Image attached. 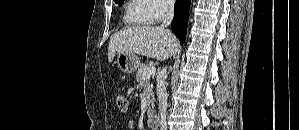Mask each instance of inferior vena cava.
Here are the masks:
<instances>
[{"mask_svg":"<svg viewBox=\"0 0 299 130\" xmlns=\"http://www.w3.org/2000/svg\"><path fill=\"white\" fill-rule=\"evenodd\" d=\"M166 17L161 24L162 28L168 27L174 16V3L173 1H169L165 6ZM167 78V68H163V70L158 75L157 82V97L159 101V113H160V130H167V122H166V111H167V98L168 94L166 91L165 80Z\"/></svg>","mask_w":299,"mask_h":130,"instance_id":"obj_1","label":"inferior vena cava"}]
</instances>
